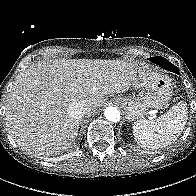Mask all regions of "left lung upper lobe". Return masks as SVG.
<instances>
[{
  "instance_id": "5c2ea615",
  "label": "left lung upper lobe",
  "mask_w": 196,
  "mask_h": 196,
  "mask_svg": "<svg viewBox=\"0 0 196 196\" xmlns=\"http://www.w3.org/2000/svg\"><path fill=\"white\" fill-rule=\"evenodd\" d=\"M150 61L162 66L163 68H165L166 70H169V71H172V72H177L179 71L178 68L170 63L167 59L163 58V57H160V56H156V57H153V58H150L149 59Z\"/></svg>"
}]
</instances>
